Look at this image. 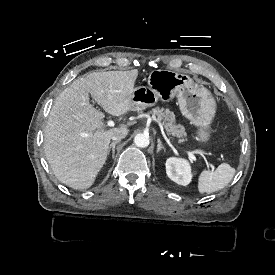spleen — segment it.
<instances>
[{
	"label": "spleen",
	"mask_w": 275,
	"mask_h": 275,
	"mask_svg": "<svg viewBox=\"0 0 275 275\" xmlns=\"http://www.w3.org/2000/svg\"><path fill=\"white\" fill-rule=\"evenodd\" d=\"M235 169L227 163L220 164L215 171L204 170L199 176L200 193H213L223 189L234 177Z\"/></svg>",
	"instance_id": "3e777b00"
}]
</instances>
